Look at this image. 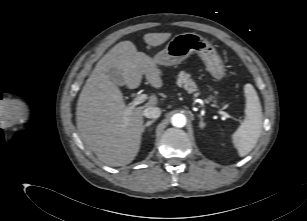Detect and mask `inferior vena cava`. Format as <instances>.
<instances>
[{
  "instance_id": "602c4592",
  "label": "inferior vena cava",
  "mask_w": 307,
  "mask_h": 221,
  "mask_svg": "<svg viewBox=\"0 0 307 221\" xmlns=\"http://www.w3.org/2000/svg\"><path fill=\"white\" fill-rule=\"evenodd\" d=\"M143 115L146 118H153L156 119L158 117H160L161 115V109L155 106H150L144 109L143 111Z\"/></svg>"
}]
</instances>
